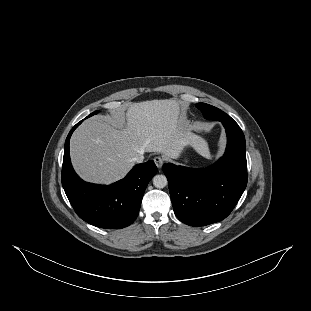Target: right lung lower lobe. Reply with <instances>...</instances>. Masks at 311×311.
<instances>
[{"label": "right lung lower lobe", "instance_id": "1", "mask_svg": "<svg viewBox=\"0 0 311 311\" xmlns=\"http://www.w3.org/2000/svg\"><path fill=\"white\" fill-rule=\"evenodd\" d=\"M82 121L71 129L65 141L61 175L65 193L77 215L87 223L106 229L129 226L139 214L143 194L157 167L152 160L138 164L111 185L83 181L75 173L69 154L70 137Z\"/></svg>", "mask_w": 311, "mask_h": 311}]
</instances>
